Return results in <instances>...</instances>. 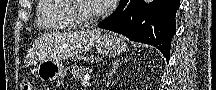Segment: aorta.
Returning a JSON list of instances; mask_svg holds the SVG:
<instances>
[{"instance_id": "1", "label": "aorta", "mask_w": 216, "mask_h": 90, "mask_svg": "<svg viewBox=\"0 0 216 90\" xmlns=\"http://www.w3.org/2000/svg\"><path fill=\"white\" fill-rule=\"evenodd\" d=\"M145 4H150V2H152V0H144Z\"/></svg>"}]
</instances>
